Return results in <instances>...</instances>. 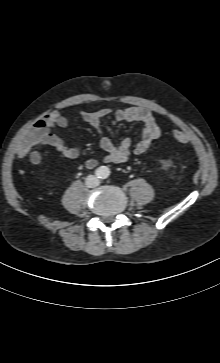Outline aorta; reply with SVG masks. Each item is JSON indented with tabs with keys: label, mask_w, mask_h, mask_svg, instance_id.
Instances as JSON below:
<instances>
[{
	"label": "aorta",
	"mask_w": 220,
	"mask_h": 363,
	"mask_svg": "<svg viewBox=\"0 0 220 363\" xmlns=\"http://www.w3.org/2000/svg\"><path fill=\"white\" fill-rule=\"evenodd\" d=\"M109 168L108 167H106V166H102V167H100V175L102 176V177H107L108 175H109Z\"/></svg>",
	"instance_id": "aorta-1"
}]
</instances>
